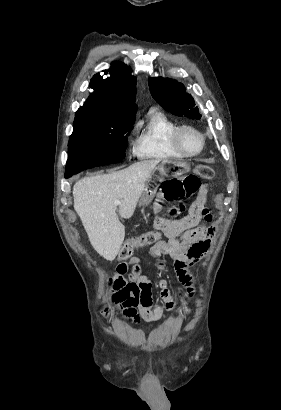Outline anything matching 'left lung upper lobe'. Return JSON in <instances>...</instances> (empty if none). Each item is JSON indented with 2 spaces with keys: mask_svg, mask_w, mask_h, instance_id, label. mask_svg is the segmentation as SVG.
<instances>
[{
  "mask_svg": "<svg viewBox=\"0 0 281 410\" xmlns=\"http://www.w3.org/2000/svg\"><path fill=\"white\" fill-rule=\"evenodd\" d=\"M152 97L167 111L176 116L199 120L201 115L192 96L186 93L183 84L168 78H149Z\"/></svg>",
  "mask_w": 281,
  "mask_h": 410,
  "instance_id": "left-lung-upper-lobe-1",
  "label": "left lung upper lobe"
}]
</instances>
